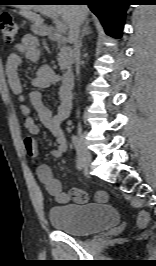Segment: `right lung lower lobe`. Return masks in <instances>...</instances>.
Here are the masks:
<instances>
[{"mask_svg": "<svg viewBox=\"0 0 156 266\" xmlns=\"http://www.w3.org/2000/svg\"><path fill=\"white\" fill-rule=\"evenodd\" d=\"M50 3H75L88 5L99 18L106 32L120 38L124 26V16L129 0H54Z\"/></svg>", "mask_w": 156, "mask_h": 266, "instance_id": "1", "label": "right lung lower lobe"}]
</instances>
